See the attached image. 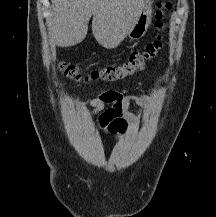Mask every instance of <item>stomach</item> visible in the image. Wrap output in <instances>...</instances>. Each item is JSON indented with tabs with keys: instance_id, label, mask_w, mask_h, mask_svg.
<instances>
[{
	"instance_id": "1",
	"label": "stomach",
	"mask_w": 216,
	"mask_h": 217,
	"mask_svg": "<svg viewBox=\"0 0 216 217\" xmlns=\"http://www.w3.org/2000/svg\"><path fill=\"white\" fill-rule=\"evenodd\" d=\"M151 18H152V0H146L138 18L133 23L131 29L127 32V36L131 40H138L142 38L145 35L151 23Z\"/></svg>"
}]
</instances>
